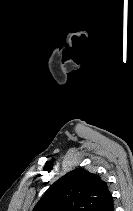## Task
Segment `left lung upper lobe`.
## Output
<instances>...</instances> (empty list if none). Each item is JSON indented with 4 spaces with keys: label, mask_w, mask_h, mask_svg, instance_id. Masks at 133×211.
<instances>
[{
    "label": "left lung upper lobe",
    "mask_w": 133,
    "mask_h": 211,
    "mask_svg": "<svg viewBox=\"0 0 133 211\" xmlns=\"http://www.w3.org/2000/svg\"><path fill=\"white\" fill-rule=\"evenodd\" d=\"M110 195L98 175L77 168L53 183L33 211H94Z\"/></svg>",
    "instance_id": "obj_1"
}]
</instances>
